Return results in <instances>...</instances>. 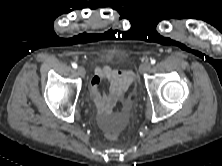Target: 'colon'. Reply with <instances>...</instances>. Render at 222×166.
<instances>
[{
	"label": "colon",
	"instance_id": "5ec220e1",
	"mask_svg": "<svg viewBox=\"0 0 222 166\" xmlns=\"http://www.w3.org/2000/svg\"><path fill=\"white\" fill-rule=\"evenodd\" d=\"M107 137L111 140H115L117 138V134L113 131L107 132Z\"/></svg>",
	"mask_w": 222,
	"mask_h": 166
}]
</instances>
